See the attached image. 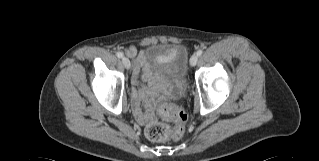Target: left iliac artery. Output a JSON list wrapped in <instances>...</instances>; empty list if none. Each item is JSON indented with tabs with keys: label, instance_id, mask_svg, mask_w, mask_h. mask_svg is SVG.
Listing matches in <instances>:
<instances>
[{
	"label": "left iliac artery",
	"instance_id": "left-iliac-artery-1",
	"mask_svg": "<svg viewBox=\"0 0 319 161\" xmlns=\"http://www.w3.org/2000/svg\"><path fill=\"white\" fill-rule=\"evenodd\" d=\"M202 53H203L202 50H198V51H197V55H198V56H201Z\"/></svg>",
	"mask_w": 319,
	"mask_h": 161
}]
</instances>
